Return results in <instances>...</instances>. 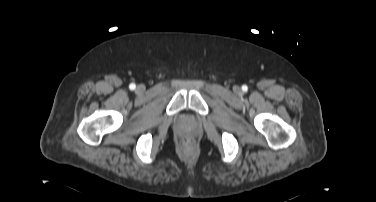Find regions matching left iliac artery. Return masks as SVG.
<instances>
[{
  "instance_id": "44dca946",
  "label": "left iliac artery",
  "mask_w": 376,
  "mask_h": 202,
  "mask_svg": "<svg viewBox=\"0 0 376 202\" xmlns=\"http://www.w3.org/2000/svg\"><path fill=\"white\" fill-rule=\"evenodd\" d=\"M243 90H247V87H246V86H243Z\"/></svg>"
}]
</instances>
